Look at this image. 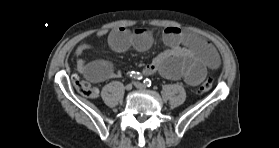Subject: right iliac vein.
<instances>
[{"instance_id": "right-iliac-vein-1", "label": "right iliac vein", "mask_w": 279, "mask_h": 148, "mask_svg": "<svg viewBox=\"0 0 279 148\" xmlns=\"http://www.w3.org/2000/svg\"><path fill=\"white\" fill-rule=\"evenodd\" d=\"M132 84H127L126 86H125V89L127 90V91H130L131 89H132Z\"/></svg>"}]
</instances>
